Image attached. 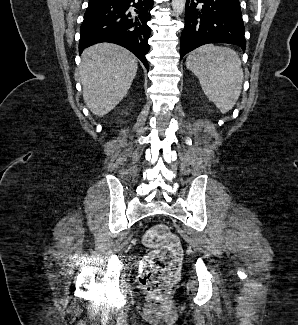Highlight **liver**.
Instances as JSON below:
<instances>
[{"instance_id":"liver-1","label":"liver","mask_w":298,"mask_h":325,"mask_svg":"<svg viewBox=\"0 0 298 325\" xmlns=\"http://www.w3.org/2000/svg\"><path fill=\"white\" fill-rule=\"evenodd\" d=\"M137 68L136 56L118 44L99 42L85 48L79 74L89 110L97 116L110 112L127 94Z\"/></svg>"}]
</instances>
